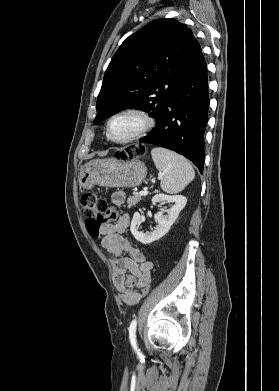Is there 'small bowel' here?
I'll list each match as a JSON object with an SVG mask.
<instances>
[{"label": "small bowel", "mask_w": 279, "mask_h": 391, "mask_svg": "<svg viewBox=\"0 0 279 391\" xmlns=\"http://www.w3.org/2000/svg\"><path fill=\"white\" fill-rule=\"evenodd\" d=\"M125 193L114 192L111 195L113 205H120L125 201ZM110 219L100 228L102 235L101 246L110 254L118 257L112 262L113 280L122 300L128 305L137 304L141 298V290L151 282L153 262L147 259L138 249L131 247L128 240L122 235L130 223L128 214L122 215L116 223ZM128 253L130 257H121Z\"/></svg>", "instance_id": "c3829d8e"}]
</instances>
